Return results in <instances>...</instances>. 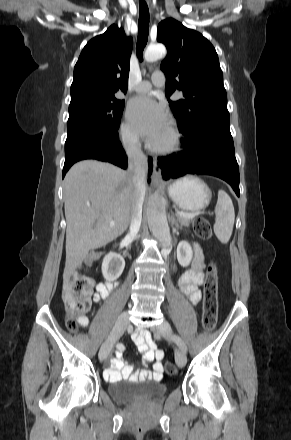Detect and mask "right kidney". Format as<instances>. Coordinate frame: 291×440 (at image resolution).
<instances>
[{"label":"right kidney","mask_w":291,"mask_h":440,"mask_svg":"<svg viewBox=\"0 0 291 440\" xmlns=\"http://www.w3.org/2000/svg\"><path fill=\"white\" fill-rule=\"evenodd\" d=\"M124 267V258L119 254L109 252L102 262V274L107 281L111 282L120 277Z\"/></svg>","instance_id":"ca27d5eb"}]
</instances>
